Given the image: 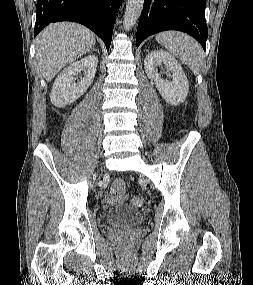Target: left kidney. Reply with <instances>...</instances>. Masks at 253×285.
I'll return each instance as SVG.
<instances>
[{
	"label": "left kidney",
	"mask_w": 253,
	"mask_h": 285,
	"mask_svg": "<svg viewBox=\"0 0 253 285\" xmlns=\"http://www.w3.org/2000/svg\"><path fill=\"white\" fill-rule=\"evenodd\" d=\"M162 64L171 71V81L161 78L157 67ZM144 66L147 76L154 80L160 95L168 104L176 106L185 101L189 91V82L175 57L166 51L155 50L145 57Z\"/></svg>",
	"instance_id": "1"
}]
</instances>
